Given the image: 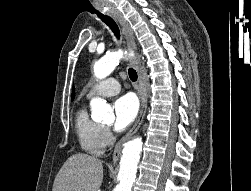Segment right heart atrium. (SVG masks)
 I'll return each instance as SVG.
<instances>
[{"mask_svg": "<svg viewBox=\"0 0 251 191\" xmlns=\"http://www.w3.org/2000/svg\"><path fill=\"white\" fill-rule=\"evenodd\" d=\"M103 142L105 146H109L113 143V136L110 129L106 126H103L102 132Z\"/></svg>", "mask_w": 251, "mask_h": 191, "instance_id": "right-heart-atrium-1", "label": "right heart atrium"}]
</instances>
